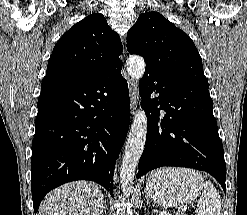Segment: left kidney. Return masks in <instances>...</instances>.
Returning <instances> with one entry per match:
<instances>
[{
    "instance_id": "1",
    "label": "left kidney",
    "mask_w": 247,
    "mask_h": 215,
    "mask_svg": "<svg viewBox=\"0 0 247 215\" xmlns=\"http://www.w3.org/2000/svg\"><path fill=\"white\" fill-rule=\"evenodd\" d=\"M159 215H171L170 213H167L166 211H162L159 213Z\"/></svg>"
}]
</instances>
